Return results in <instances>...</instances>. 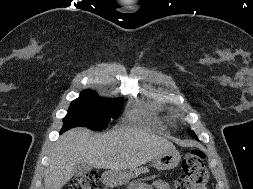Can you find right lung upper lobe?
<instances>
[{"instance_id":"obj_1","label":"right lung upper lobe","mask_w":253,"mask_h":189,"mask_svg":"<svg viewBox=\"0 0 253 189\" xmlns=\"http://www.w3.org/2000/svg\"><path fill=\"white\" fill-rule=\"evenodd\" d=\"M82 93H93V92H90V91H88V90H85V91H83Z\"/></svg>"}]
</instances>
